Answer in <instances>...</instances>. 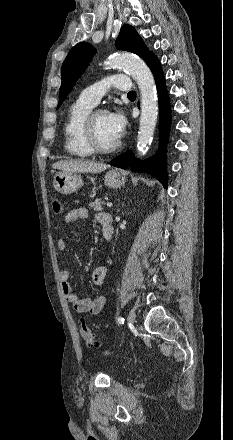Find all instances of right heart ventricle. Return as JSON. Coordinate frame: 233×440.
<instances>
[{
	"instance_id": "e07e8e85",
	"label": "right heart ventricle",
	"mask_w": 233,
	"mask_h": 440,
	"mask_svg": "<svg viewBox=\"0 0 233 440\" xmlns=\"http://www.w3.org/2000/svg\"><path fill=\"white\" fill-rule=\"evenodd\" d=\"M92 108L78 99L68 110L64 124L65 150L73 157L87 158L93 154L85 144L82 133L84 120Z\"/></svg>"
}]
</instances>
